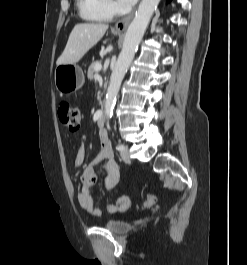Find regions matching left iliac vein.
I'll return each mask as SVG.
<instances>
[{
  "mask_svg": "<svg viewBox=\"0 0 247 265\" xmlns=\"http://www.w3.org/2000/svg\"><path fill=\"white\" fill-rule=\"evenodd\" d=\"M120 155L124 162L128 164L131 162L128 147H124V149L121 150Z\"/></svg>",
  "mask_w": 247,
  "mask_h": 265,
  "instance_id": "left-iliac-vein-1",
  "label": "left iliac vein"
}]
</instances>
